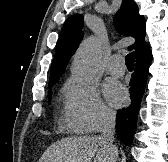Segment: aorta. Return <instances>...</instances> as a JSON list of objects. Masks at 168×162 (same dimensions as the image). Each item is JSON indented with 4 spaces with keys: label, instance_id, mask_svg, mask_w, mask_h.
<instances>
[{
    "label": "aorta",
    "instance_id": "aorta-1",
    "mask_svg": "<svg viewBox=\"0 0 168 162\" xmlns=\"http://www.w3.org/2000/svg\"><path fill=\"white\" fill-rule=\"evenodd\" d=\"M102 56L101 44L96 37L84 40L75 53L72 74L80 83H88L95 75Z\"/></svg>",
    "mask_w": 168,
    "mask_h": 162
}]
</instances>
